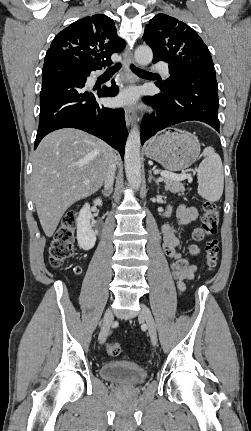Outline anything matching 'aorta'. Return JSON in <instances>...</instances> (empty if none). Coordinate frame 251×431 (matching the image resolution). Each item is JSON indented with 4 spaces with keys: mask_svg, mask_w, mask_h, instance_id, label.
<instances>
[{
    "mask_svg": "<svg viewBox=\"0 0 251 431\" xmlns=\"http://www.w3.org/2000/svg\"><path fill=\"white\" fill-rule=\"evenodd\" d=\"M134 56L141 66L148 65L153 59L152 50L148 46H139ZM140 146V130L134 126L128 135L124 155L126 178L134 189H139L141 185Z\"/></svg>",
    "mask_w": 251,
    "mask_h": 431,
    "instance_id": "obj_1",
    "label": "aorta"
}]
</instances>
